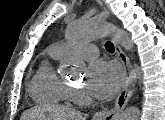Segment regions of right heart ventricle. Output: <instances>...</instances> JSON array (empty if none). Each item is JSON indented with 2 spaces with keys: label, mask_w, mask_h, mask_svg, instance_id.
<instances>
[{
  "label": "right heart ventricle",
  "mask_w": 165,
  "mask_h": 120,
  "mask_svg": "<svg viewBox=\"0 0 165 120\" xmlns=\"http://www.w3.org/2000/svg\"><path fill=\"white\" fill-rule=\"evenodd\" d=\"M64 53L51 47L40 61L29 84V92L34 100L41 103H66L73 98V88L57 71V63Z\"/></svg>",
  "instance_id": "right-heart-ventricle-1"
}]
</instances>
